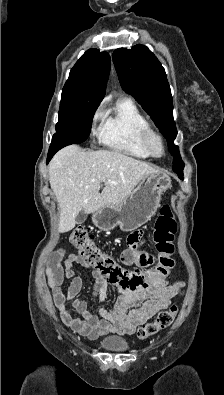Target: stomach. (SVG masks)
Listing matches in <instances>:
<instances>
[{"label":"stomach","mask_w":224,"mask_h":395,"mask_svg":"<svg viewBox=\"0 0 224 395\" xmlns=\"http://www.w3.org/2000/svg\"><path fill=\"white\" fill-rule=\"evenodd\" d=\"M168 174L155 171L143 177L140 184L124 200L100 208L92 221L101 230L119 226L122 231H133L147 223L160 206L162 195L171 188Z\"/></svg>","instance_id":"obj_1"}]
</instances>
